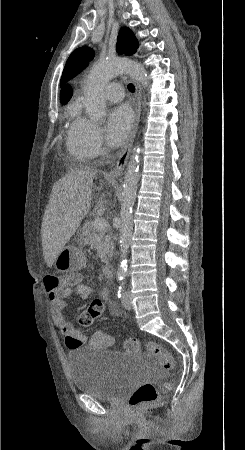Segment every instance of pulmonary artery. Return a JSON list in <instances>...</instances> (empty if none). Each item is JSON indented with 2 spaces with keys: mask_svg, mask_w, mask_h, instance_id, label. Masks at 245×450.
Returning a JSON list of instances; mask_svg holds the SVG:
<instances>
[{
  "mask_svg": "<svg viewBox=\"0 0 245 450\" xmlns=\"http://www.w3.org/2000/svg\"><path fill=\"white\" fill-rule=\"evenodd\" d=\"M122 89L123 85L121 83L110 81L104 87V95L111 102H120L123 100Z\"/></svg>",
  "mask_w": 245,
  "mask_h": 450,
  "instance_id": "obj_1",
  "label": "pulmonary artery"
}]
</instances>
